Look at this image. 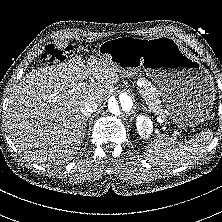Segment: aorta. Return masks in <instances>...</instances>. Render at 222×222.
<instances>
[{
	"label": "aorta",
	"mask_w": 222,
	"mask_h": 222,
	"mask_svg": "<svg viewBox=\"0 0 222 222\" xmlns=\"http://www.w3.org/2000/svg\"><path fill=\"white\" fill-rule=\"evenodd\" d=\"M133 109V100L127 94H120L118 99L112 97L108 101V111L115 117H122Z\"/></svg>",
	"instance_id": "1"
}]
</instances>
